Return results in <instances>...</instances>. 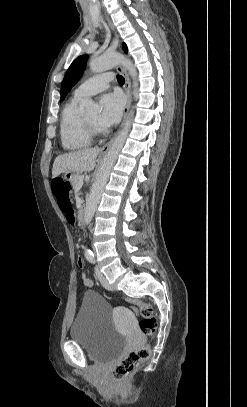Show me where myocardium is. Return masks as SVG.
<instances>
[{
  "label": "myocardium",
  "instance_id": "myocardium-1",
  "mask_svg": "<svg viewBox=\"0 0 247 407\" xmlns=\"http://www.w3.org/2000/svg\"><path fill=\"white\" fill-rule=\"evenodd\" d=\"M82 123L85 131L92 138L103 134L105 131L101 126L91 123L85 115H82Z\"/></svg>",
  "mask_w": 247,
  "mask_h": 407
}]
</instances>
